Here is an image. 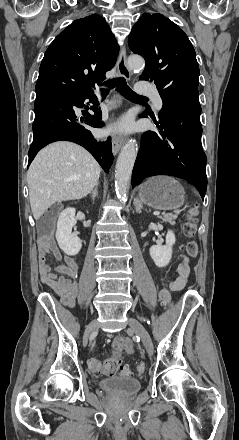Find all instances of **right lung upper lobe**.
I'll use <instances>...</instances> for the list:
<instances>
[{"mask_svg": "<svg viewBox=\"0 0 239 440\" xmlns=\"http://www.w3.org/2000/svg\"><path fill=\"white\" fill-rule=\"evenodd\" d=\"M118 51L116 39L103 17L93 14L75 20L46 50L36 96L92 91L113 68Z\"/></svg>", "mask_w": 239, "mask_h": 440, "instance_id": "right-lung-upper-lobe-1", "label": "right lung upper lobe"}]
</instances>
